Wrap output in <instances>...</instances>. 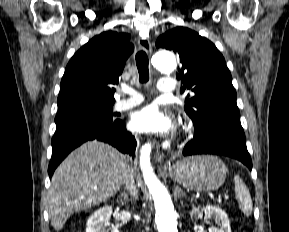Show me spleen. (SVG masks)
Listing matches in <instances>:
<instances>
[{
	"label": "spleen",
	"instance_id": "spleen-1",
	"mask_svg": "<svg viewBox=\"0 0 289 232\" xmlns=\"http://www.w3.org/2000/svg\"><path fill=\"white\" fill-rule=\"evenodd\" d=\"M234 182L235 194L239 203V208L246 216H250L253 205L249 190L239 175L234 176Z\"/></svg>",
	"mask_w": 289,
	"mask_h": 232
}]
</instances>
